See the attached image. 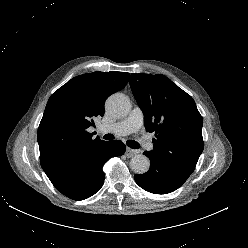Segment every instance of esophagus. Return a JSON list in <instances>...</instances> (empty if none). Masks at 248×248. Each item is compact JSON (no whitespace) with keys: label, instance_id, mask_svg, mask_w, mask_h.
I'll list each match as a JSON object with an SVG mask.
<instances>
[{"label":"esophagus","instance_id":"obj_1","mask_svg":"<svg viewBox=\"0 0 248 248\" xmlns=\"http://www.w3.org/2000/svg\"><path fill=\"white\" fill-rule=\"evenodd\" d=\"M126 153H127V156L132 157V156L136 155L138 153V151L131 149V148H127Z\"/></svg>","mask_w":248,"mask_h":248}]
</instances>
